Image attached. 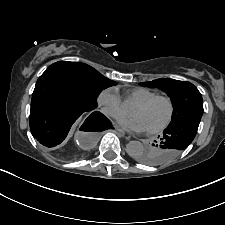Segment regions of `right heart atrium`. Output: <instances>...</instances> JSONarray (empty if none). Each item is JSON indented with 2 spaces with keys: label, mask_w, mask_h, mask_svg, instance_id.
Wrapping results in <instances>:
<instances>
[{
  "label": "right heart atrium",
  "mask_w": 225,
  "mask_h": 225,
  "mask_svg": "<svg viewBox=\"0 0 225 225\" xmlns=\"http://www.w3.org/2000/svg\"><path fill=\"white\" fill-rule=\"evenodd\" d=\"M97 103L101 111L109 116H118L123 109V103L118 91L114 88H106L102 90L97 97Z\"/></svg>",
  "instance_id": "obj_1"
}]
</instances>
